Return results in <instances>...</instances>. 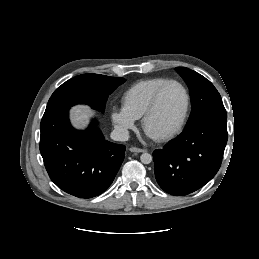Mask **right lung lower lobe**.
Instances as JSON below:
<instances>
[{
  "mask_svg": "<svg viewBox=\"0 0 259 259\" xmlns=\"http://www.w3.org/2000/svg\"><path fill=\"white\" fill-rule=\"evenodd\" d=\"M40 152L50 179L63 191L79 198H92L113 182L125 155V146L106 141L91 124L74 129L69 109L43 116Z\"/></svg>",
  "mask_w": 259,
  "mask_h": 259,
  "instance_id": "98d812e1",
  "label": "right lung lower lobe"
}]
</instances>
